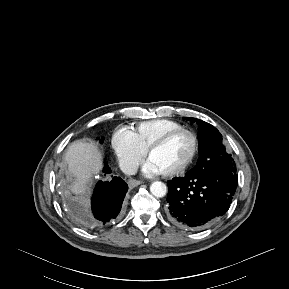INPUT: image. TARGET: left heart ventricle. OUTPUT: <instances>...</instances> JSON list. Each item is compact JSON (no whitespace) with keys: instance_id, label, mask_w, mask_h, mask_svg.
<instances>
[{"instance_id":"left-heart-ventricle-1","label":"left heart ventricle","mask_w":289,"mask_h":289,"mask_svg":"<svg viewBox=\"0 0 289 289\" xmlns=\"http://www.w3.org/2000/svg\"><path fill=\"white\" fill-rule=\"evenodd\" d=\"M193 142L189 135L181 134L172 139L163 148L155 151L151 161L161 173L172 171L181 166L190 156Z\"/></svg>"}]
</instances>
